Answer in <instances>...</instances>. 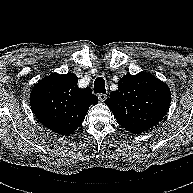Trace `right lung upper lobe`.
Listing matches in <instances>:
<instances>
[{
    "label": "right lung upper lobe",
    "mask_w": 193,
    "mask_h": 193,
    "mask_svg": "<svg viewBox=\"0 0 193 193\" xmlns=\"http://www.w3.org/2000/svg\"><path fill=\"white\" fill-rule=\"evenodd\" d=\"M73 73L44 77L34 85L30 105L38 121L58 134H70L81 124L90 105L98 103L90 87H77Z\"/></svg>",
    "instance_id": "right-lung-upper-lobe-1"
}]
</instances>
